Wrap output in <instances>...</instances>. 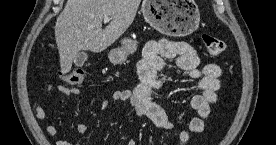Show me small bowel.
Returning a JSON list of instances; mask_svg holds the SVG:
<instances>
[{
  "label": "small bowel",
  "instance_id": "small-bowel-1",
  "mask_svg": "<svg viewBox=\"0 0 276 145\" xmlns=\"http://www.w3.org/2000/svg\"><path fill=\"white\" fill-rule=\"evenodd\" d=\"M174 60L181 73L189 78L198 80L199 92L190 101L191 108L197 112V116L191 118L187 128L181 130L176 145H185L191 134L203 131L204 122L209 116L210 106L217 99V91L220 87V67L217 64L209 63L200 67V60L196 50L186 42L161 39L148 42L143 50V58L137 65L139 83L133 89L115 90L110 100L101 103V109L110 107L111 102H129L135 111L136 118H148L154 125L163 129H172L174 124L169 120L165 110L153 100L152 93L161 87L159 72L165 67L166 60ZM48 91L57 92L64 96H78L81 94L79 88L66 87L63 85L47 86ZM46 116L45 109L37 103L35 105V117L43 120ZM88 128L84 123L77 124V131L85 134ZM49 136H54L57 125L50 124L45 128ZM55 145H72L67 141L58 140ZM126 145H136L133 138L129 139Z\"/></svg>",
  "mask_w": 276,
  "mask_h": 145
}]
</instances>
